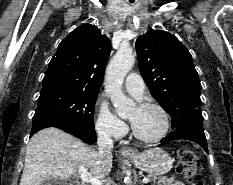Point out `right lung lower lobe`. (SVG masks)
<instances>
[{
	"label": "right lung lower lobe",
	"instance_id": "98d812e1",
	"mask_svg": "<svg viewBox=\"0 0 233 185\" xmlns=\"http://www.w3.org/2000/svg\"><path fill=\"white\" fill-rule=\"evenodd\" d=\"M52 124H38L37 128L31 131V136L39 131L40 129L51 127ZM54 127L60 128L76 137L81 139L82 141L93 144L96 142V133L94 130H88L85 128L73 126V125H55Z\"/></svg>",
	"mask_w": 233,
	"mask_h": 185
}]
</instances>
